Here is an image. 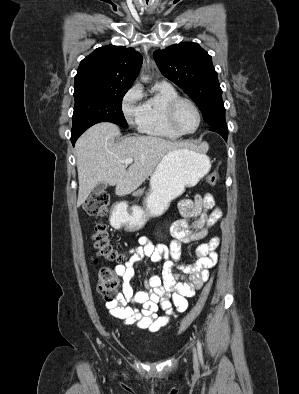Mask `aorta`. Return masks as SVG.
<instances>
[{
  "instance_id": "obj_1",
  "label": "aorta",
  "mask_w": 299,
  "mask_h": 394,
  "mask_svg": "<svg viewBox=\"0 0 299 394\" xmlns=\"http://www.w3.org/2000/svg\"><path fill=\"white\" fill-rule=\"evenodd\" d=\"M147 79H148L147 77H144V76L142 77V80H144V81H147Z\"/></svg>"
}]
</instances>
